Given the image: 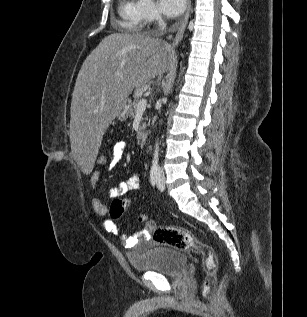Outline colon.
Returning <instances> with one entry per match:
<instances>
[{"instance_id": "colon-1", "label": "colon", "mask_w": 307, "mask_h": 317, "mask_svg": "<svg viewBox=\"0 0 307 317\" xmlns=\"http://www.w3.org/2000/svg\"><path fill=\"white\" fill-rule=\"evenodd\" d=\"M108 161L105 154L99 153L96 158V166L106 167ZM128 204L129 200L127 199H114L109 210L111 218H121ZM138 220L145 223L147 232L156 243L170 246L178 250H192L203 255L205 268L203 292L207 293L215 278L217 270V259L212 248L204 243L197 242L192 234L184 228L170 225H158L150 220L146 214H140Z\"/></svg>"}]
</instances>
